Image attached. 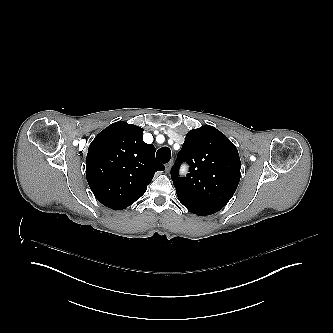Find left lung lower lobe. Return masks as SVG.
<instances>
[{"mask_svg":"<svg viewBox=\"0 0 333 333\" xmlns=\"http://www.w3.org/2000/svg\"><path fill=\"white\" fill-rule=\"evenodd\" d=\"M190 212L196 214V215H199V216H205V215H209L210 213H207V212H204V211H200V210H197V209H191L189 208L188 209Z\"/></svg>","mask_w":333,"mask_h":333,"instance_id":"obj_1","label":"left lung lower lobe"}]
</instances>
